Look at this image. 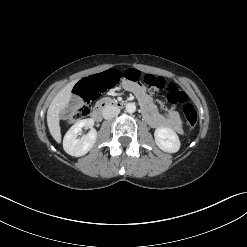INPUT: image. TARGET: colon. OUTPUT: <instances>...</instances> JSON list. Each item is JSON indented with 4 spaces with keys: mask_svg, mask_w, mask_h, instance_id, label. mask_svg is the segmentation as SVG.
<instances>
[{
    "mask_svg": "<svg viewBox=\"0 0 247 247\" xmlns=\"http://www.w3.org/2000/svg\"><path fill=\"white\" fill-rule=\"evenodd\" d=\"M131 82L140 83L141 74L135 69H128L121 74L117 69L109 68L96 72L93 76L86 75L80 78L74 86L75 94L81 99L80 103H73L68 109L67 123H73L86 118L91 112L90 102L98 93L117 90L123 82V77ZM144 83L154 92L166 89L167 99L172 105L184 104L182 111L186 123L190 128L197 124V111L193 105L186 103L187 95L177 85L166 84L165 81L153 75H145Z\"/></svg>",
    "mask_w": 247,
    "mask_h": 247,
    "instance_id": "obj_1",
    "label": "colon"
}]
</instances>
